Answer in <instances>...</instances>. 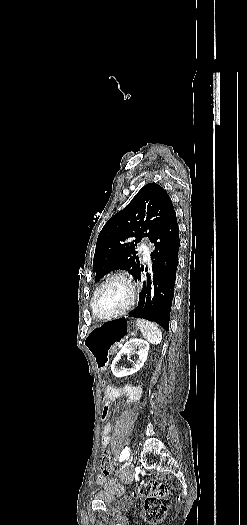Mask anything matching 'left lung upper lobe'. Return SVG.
<instances>
[{"mask_svg":"<svg viewBox=\"0 0 247 525\" xmlns=\"http://www.w3.org/2000/svg\"><path fill=\"white\" fill-rule=\"evenodd\" d=\"M174 212L169 195L160 185L148 183L142 187L99 233L93 259L95 281L117 269H124L135 278L142 268L136 256L137 243L143 237L150 239Z\"/></svg>","mask_w":247,"mask_h":525,"instance_id":"1","label":"left lung upper lobe"}]
</instances>
